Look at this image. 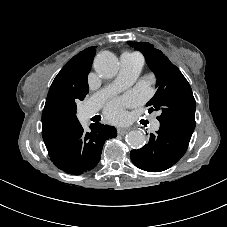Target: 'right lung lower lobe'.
Returning <instances> with one entry per match:
<instances>
[{
    "label": "right lung lower lobe",
    "instance_id": "1",
    "mask_svg": "<svg viewBox=\"0 0 227 227\" xmlns=\"http://www.w3.org/2000/svg\"><path fill=\"white\" fill-rule=\"evenodd\" d=\"M85 132L80 123L45 142L54 165L68 174L92 170L100 160L105 140L117 136L115 127L95 123Z\"/></svg>",
    "mask_w": 227,
    "mask_h": 227
}]
</instances>
